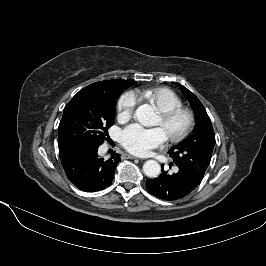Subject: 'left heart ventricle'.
<instances>
[{"label": "left heart ventricle", "mask_w": 266, "mask_h": 266, "mask_svg": "<svg viewBox=\"0 0 266 266\" xmlns=\"http://www.w3.org/2000/svg\"><path fill=\"white\" fill-rule=\"evenodd\" d=\"M186 124V120L183 116L177 117L170 122H164L160 116H158L154 122L155 126L163 129L167 136L179 133Z\"/></svg>", "instance_id": "left-heart-ventricle-1"}]
</instances>
